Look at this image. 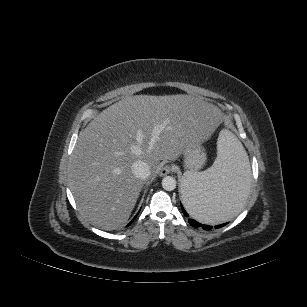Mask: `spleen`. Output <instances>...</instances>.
Segmentation results:
<instances>
[{
    "instance_id": "spleen-1",
    "label": "spleen",
    "mask_w": 307,
    "mask_h": 307,
    "mask_svg": "<svg viewBox=\"0 0 307 307\" xmlns=\"http://www.w3.org/2000/svg\"><path fill=\"white\" fill-rule=\"evenodd\" d=\"M250 174L248 156L240 141L231 132L221 131L213 165L202 172L184 173L181 193L186 210L206 224L232 219L248 203Z\"/></svg>"
}]
</instances>
